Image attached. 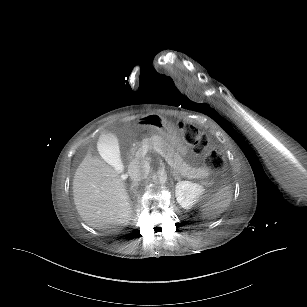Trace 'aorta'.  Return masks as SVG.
<instances>
[{"mask_svg": "<svg viewBox=\"0 0 307 307\" xmlns=\"http://www.w3.org/2000/svg\"><path fill=\"white\" fill-rule=\"evenodd\" d=\"M153 181L156 184H165L167 182V174L164 170H159L155 175H153Z\"/></svg>", "mask_w": 307, "mask_h": 307, "instance_id": "762f6f07", "label": "aorta"}]
</instances>
